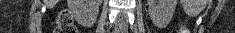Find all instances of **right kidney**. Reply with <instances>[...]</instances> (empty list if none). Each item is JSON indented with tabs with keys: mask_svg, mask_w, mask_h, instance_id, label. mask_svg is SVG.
Wrapping results in <instances>:
<instances>
[{
	"mask_svg": "<svg viewBox=\"0 0 235 33\" xmlns=\"http://www.w3.org/2000/svg\"><path fill=\"white\" fill-rule=\"evenodd\" d=\"M101 2L102 0H68V7L75 18L95 21Z\"/></svg>",
	"mask_w": 235,
	"mask_h": 33,
	"instance_id": "1",
	"label": "right kidney"
}]
</instances>
